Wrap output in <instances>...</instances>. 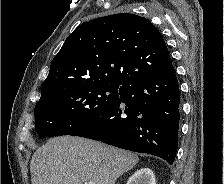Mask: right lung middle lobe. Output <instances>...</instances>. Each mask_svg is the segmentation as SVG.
<instances>
[{"instance_id": "right-lung-middle-lobe-1", "label": "right lung middle lobe", "mask_w": 224, "mask_h": 184, "mask_svg": "<svg viewBox=\"0 0 224 184\" xmlns=\"http://www.w3.org/2000/svg\"><path fill=\"white\" fill-rule=\"evenodd\" d=\"M122 86L82 83L37 103L34 110L36 132L40 138L69 135L112 105Z\"/></svg>"}]
</instances>
